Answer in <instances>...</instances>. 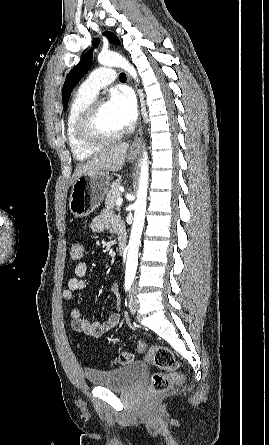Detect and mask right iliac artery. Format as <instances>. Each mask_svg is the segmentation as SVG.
Listing matches in <instances>:
<instances>
[{
    "mask_svg": "<svg viewBox=\"0 0 269 445\" xmlns=\"http://www.w3.org/2000/svg\"><path fill=\"white\" fill-rule=\"evenodd\" d=\"M132 283H133V278L132 277H126L125 278V290L126 291L130 290Z\"/></svg>",
    "mask_w": 269,
    "mask_h": 445,
    "instance_id": "right-iliac-artery-1",
    "label": "right iliac artery"
}]
</instances>
